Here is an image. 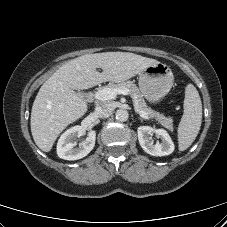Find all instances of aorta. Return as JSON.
<instances>
[{
	"label": "aorta",
	"instance_id": "aorta-1",
	"mask_svg": "<svg viewBox=\"0 0 227 227\" xmlns=\"http://www.w3.org/2000/svg\"><path fill=\"white\" fill-rule=\"evenodd\" d=\"M129 117L128 111L125 109H118L116 111V119L120 122L127 121Z\"/></svg>",
	"mask_w": 227,
	"mask_h": 227
}]
</instances>
